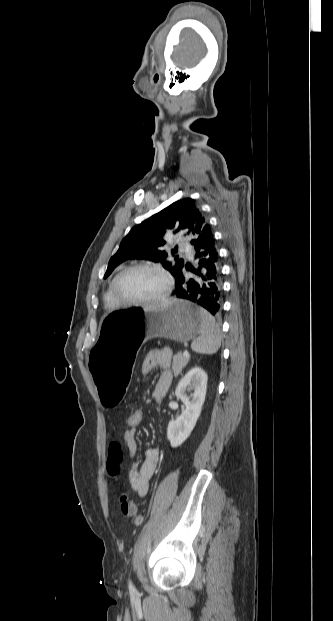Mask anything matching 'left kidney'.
<instances>
[{"instance_id": "5707ae66", "label": "left kidney", "mask_w": 333, "mask_h": 621, "mask_svg": "<svg viewBox=\"0 0 333 621\" xmlns=\"http://www.w3.org/2000/svg\"><path fill=\"white\" fill-rule=\"evenodd\" d=\"M207 379L202 368L194 367L180 380L175 395L183 402L185 410L168 424L167 438L172 447L180 446L194 429L205 401ZM190 392H193L192 398Z\"/></svg>"}]
</instances>
